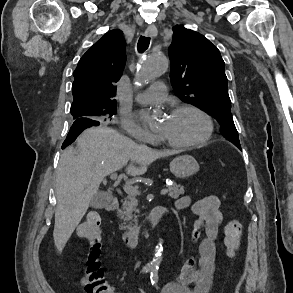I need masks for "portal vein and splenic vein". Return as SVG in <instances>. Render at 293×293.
I'll return each mask as SVG.
<instances>
[{"label":"portal vein and splenic vein","instance_id":"portal-vein-and-splenic-vein-1","mask_svg":"<svg viewBox=\"0 0 293 293\" xmlns=\"http://www.w3.org/2000/svg\"><path fill=\"white\" fill-rule=\"evenodd\" d=\"M110 178L112 180H117V173H112L110 175ZM123 189L129 195H137V194H139L138 188L130 186V185H124ZM167 193H168L167 189H162L161 192H160L161 195H166Z\"/></svg>","mask_w":293,"mask_h":293}]
</instances>
